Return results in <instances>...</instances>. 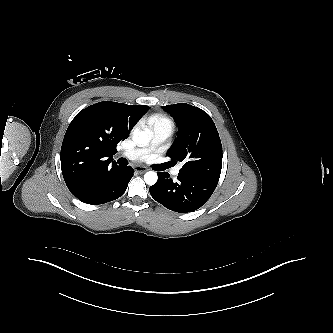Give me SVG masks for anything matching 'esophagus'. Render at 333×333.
Masks as SVG:
<instances>
[{"label":"esophagus","mask_w":333,"mask_h":333,"mask_svg":"<svg viewBox=\"0 0 333 333\" xmlns=\"http://www.w3.org/2000/svg\"><path fill=\"white\" fill-rule=\"evenodd\" d=\"M134 170H135L137 173L142 174V173H145V172L147 171V168H145V167H141V166H136V167L134 168Z\"/></svg>","instance_id":"34e87169"}]
</instances>
